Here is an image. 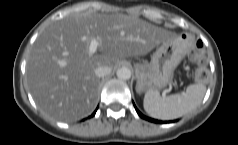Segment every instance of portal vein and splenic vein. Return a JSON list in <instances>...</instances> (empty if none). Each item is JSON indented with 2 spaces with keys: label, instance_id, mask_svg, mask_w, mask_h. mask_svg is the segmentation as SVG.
<instances>
[{
  "label": "portal vein and splenic vein",
  "instance_id": "portal-vein-and-splenic-vein-1",
  "mask_svg": "<svg viewBox=\"0 0 238 145\" xmlns=\"http://www.w3.org/2000/svg\"><path fill=\"white\" fill-rule=\"evenodd\" d=\"M98 48V41L96 39H91L90 45H89V53L94 54ZM168 92V91H166Z\"/></svg>",
  "mask_w": 238,
  "mask_h": 145
}]
</instances>
